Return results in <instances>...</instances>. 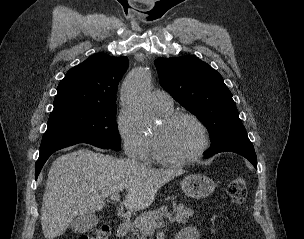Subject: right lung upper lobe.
Here are the masks:
<instances>
[{
    "label": "right lung upper lobe",
    "instance_id": "1",
    "mask_svg": "<svg viewBox=\"0 0 304 239\" xmlns=\"http://www.w3.org/2000/svg\"><path fill=\"white\" fill-rule=\"evenodd\" d=\"M127 67V57L104 53L89 57L70 69L59 83L53 112L116 105L117 87Z\"/></svg>",
    "mask_w": 304,
    "mask_h": 239
}]
</instances>
